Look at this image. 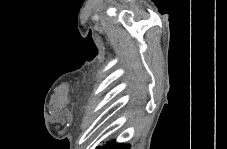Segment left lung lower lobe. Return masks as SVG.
Listing matches in <instances>:
<instances>
[{"label":"left lung lower lobe","instance_id":"obj_1","mask_svg":"<svg viewBox=\"0 0 227 149\" xmlns=\"http://www.w3.org/2000/svg\"><path fill=\"white\" fill-rule=\"evenodd\" d=\"M109 146V148H108ZM107 149H129V145L128 144H120V143H115V141H111L108 144H106L104 146ZM98 149H100V147H98Z\"/></svg>","mask_w":227,"mask_h":149}]
</instances>
